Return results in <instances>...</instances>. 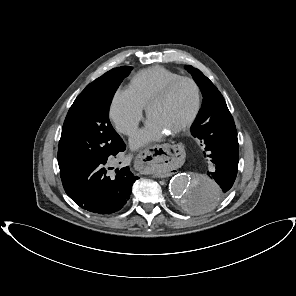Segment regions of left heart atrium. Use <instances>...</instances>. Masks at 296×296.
I'll return each instance as SVG.
<instances>
[{
  "label": "left heart atrium",
  "mask_w": 296,
  "mask_h": 296,
  "mask_svg": "<svg viewBox=\"0 0 296 296\" xmlns=\"http://www.w3.org/2000/svg\"><path fill=\"white\" fill-rule=\"evenodd\" d=\"M167 134L166 130L149 118L146 127L132 138L131 144L134 148H139L152 141L159 140Z\"/></svg>",
  "instance_id": "1"
}]
</instances>
